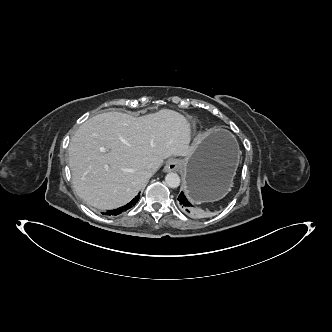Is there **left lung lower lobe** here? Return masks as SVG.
I'll return each instance as SVG.
<instances>
[{
  "mask_svg": "<svg viewBox=\"0 0 332 332\" xmlns=\"http://www.w3.org/2000/svg\"><path fill=\"white\" fill-rule=\"evenodd\" d=\"M178 200H179L180 207H182L184 212H186L190 215L197 216V217L202 216L203 213L201 211H196L192 208V205L187 200V198L185 197L183 192H181L180 195L178 196Z\"/></svg>",
  "mask_w": 332,
  "mask_h": 332,
  "instance_id": "1",
  "label": "left lung lower lobe"
}]
</instances>
